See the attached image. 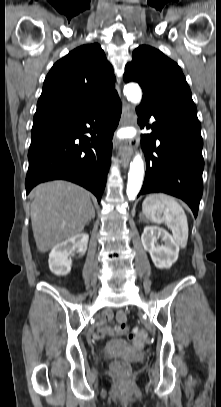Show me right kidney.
Segmentation results:
<instances>
[{
  "instance_id": "right-kidney-1",
  "label": "right kidney",
  "mask_w": 221,
  "mask_h": 407,
  "mask_svg": "<svg viewBox=\"0 0 221 407\" xmlns=\"http://www.w3.org/2000/svg\"><path fill=\"white\" fill-rule=\"evenodd\" d=\"M89 235L77 234L53 247L49 254V268L57 276H65L71 271L72 261L69 256L77 248V252L83 255L87 250Z\"/></svg>"
}]
</instances>
